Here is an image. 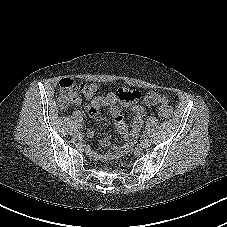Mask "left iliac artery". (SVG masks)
Wrapping results in <instances>:
<instances>
[{
    "mask_svg": "<svg viewBox=\"0 0 227 227\" xmlns=\"http://www.w3.org/2000/svg\"><path fill=\"white\" fill-rule=\"evenodd\" d=\"M145 135L149 136V133L148 132H145Z\"/></svg>",
    "mask_w": 227,
    "mask_h": 227,
    "instance_id": "left-iliac-artery-1",
    "label": "left iliac artery"
}]
</instances>
